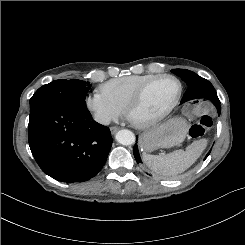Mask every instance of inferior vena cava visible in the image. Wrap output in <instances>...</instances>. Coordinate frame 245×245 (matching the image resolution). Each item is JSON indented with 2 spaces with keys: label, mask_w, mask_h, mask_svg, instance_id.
<instances>
[{
  "label": "inferior vena cava",
  "mask_w": 245,
  "mask_h": 245,
  "mask_svg": "<svg viewBox=\"0 0 245 245\" xmlns=\"http://www.w3.org/2000/svg\"><path fill=\"white\" fill-rule=\"evenodd\" d=\"M95 120L103 125H109L111 121L109 117H96Z\"/></svg>",
  "instance_id": "inferior-vena-cava-1"
}]
</instances>
